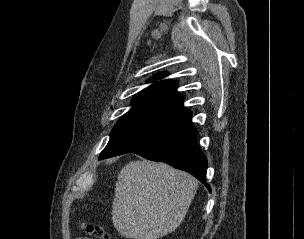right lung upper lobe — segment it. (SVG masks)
I'll return each instance as SVG.
<instances>
[{
    "label": "right lung upper lobe",
    "instance_id": "obj_1",
    "mask_svg": "<svg viewBox=\"0 0 304 239\" xmlns=\"http://www.w3.org/2000/svg\"><path fill=\"white\" fill-rule=\"evenodd\" d=\"M165 76L164 72L153 76L150 82L155 83L133 98L132 108L129 112L146 113L165 118L168 121L191 114V111L183 106L184 99L176 92V84L165 80L157 82Z\"/></svg>",
    "mask_w": 304,
    "mask_h": 239
}]
</instances>
